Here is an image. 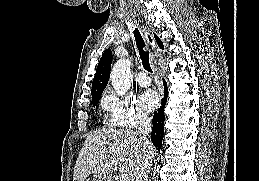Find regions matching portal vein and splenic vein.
<instances>
[{"mask_svg":"<svg viewBox=\"0 0 259 181\" xmlns=\"http://www.w3.org/2000/svg\"><path fill=\"white\" fill-rule=\"evenodd\" d=\"M119 179L120 181H130L128 174L125 173L121 174Z\"/></svg>","mask_w":259,"mask_h":181,"instance_id":"obj_1","label":"portal vein and splenic vein"}]
</instances>
